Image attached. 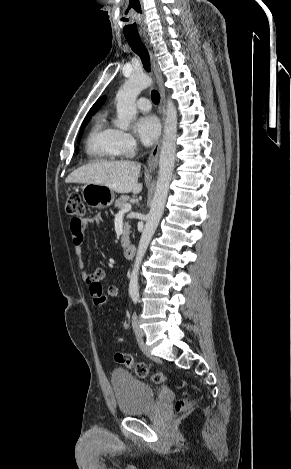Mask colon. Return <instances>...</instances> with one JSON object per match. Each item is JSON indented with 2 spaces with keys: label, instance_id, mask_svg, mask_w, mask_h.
<instances>
[{
  "label": "colon",
  "instance_id": "obj_1",
  "mask_svg": "<svg viewBox=\"0 0 291 469\" xmlns=\"http://www.w3.org/2000/svg\"><path fill=\"white\" fill-rule=\"evenodd\" d=\"M66 211L67 213L76 219H82L85 216L86 208L81 196L77 193H70L66 200ZM94 291L99 294L93 299L94 309L96 311H102L107 306L106 295L100 293L99 287H94ZM118 343L122 342V338L116 336ZM115 360L124 365L125 367L132 368L135 374L140 378L150 377L154 383L160 384L166 380V377L161 372L150 373L148 366L145 363L135 362L132 355L128 353L118 352L115 354ZM187 406L186 400H180L177 402V410H181Z\"/></svg>",
  "mask_w": 291,
  "mask_h": 469
}]
</instances>
